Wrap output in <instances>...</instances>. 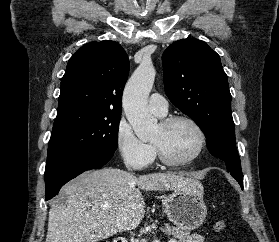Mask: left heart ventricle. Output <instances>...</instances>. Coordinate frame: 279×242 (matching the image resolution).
<instances>
[{
    "label": "left heart ventricle",
    "mask_w": 279,
    "mask_h": 242,
    "mask_svg": "<svg viewBox=\"0 0 279 242\" xmlns=\"http://www.w3.org/2000/svg\"><path fill=\"white\" fill-rule=\"evenodd\" d=\"M151 142L158 144L170 159L183 160L196 150L198 135L190 124L176 122L166 129L158 125Z\"/></svg>",
    "instance_id": "obj_1"
}]
</instances>
